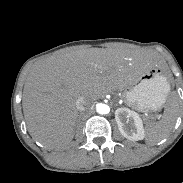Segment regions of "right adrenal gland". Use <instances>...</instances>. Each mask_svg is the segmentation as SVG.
I'll use <instances>...</instances> for the list:
<instances>
[{"label": "right adrenal gland", "mask_w": 183, "mask_h": 183, "mask_svg": "<svg viewBox=\"0 0 183 183\" xmlns=\"http://www.w3.org/2000/svg\"><path fill=\"white\" fill-rule=\"evenodd\" d=\"M82 115V112L81 113H79V115H78V118H80V116Z\"/></svg>", "instance_id": "right-adrenal-gland-1"}]
</instances>
